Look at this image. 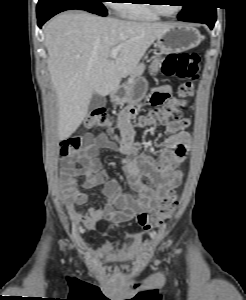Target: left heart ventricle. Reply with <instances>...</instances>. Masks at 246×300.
I'll list each match as a JSON object with an SVG mask.
<instances>
[{
    "label": "left heart ventricle",
    "instance_id": "obj_1",
    "mask_svg": "<svg viewBox=\"0 0 246 300\" xmlns=\"http://www.w3.org/2000/svg\"><path fill=\"white\" fill-rule=\"evenodd\" d=\"M164 2L174 3L175 1L164 0ZM161 7H162L163 11H165L167 14H173V13H175V11H177L179 6L175 5V4H170V5H162Z\"/></svg>",
    "mask_w": 246,
    "mask_h": 300
}]
</instances>
